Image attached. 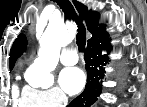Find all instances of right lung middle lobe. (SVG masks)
<instances>
[{
    "label": "right lung middle lobe",
    "instance_id": "obj_1",
    "mask_svg": "<svg viewBox=\"0 0 147 107\" xmlns=\"http://www.w3.org/2000/svg\"><path fill=\"white\" fill-rule=\"evenodd\" d=\"M13 69V66H10V70H12Z\"/></svg>",
    "mask_w": 147,
    "mask_h": 107
}]
</instances>
